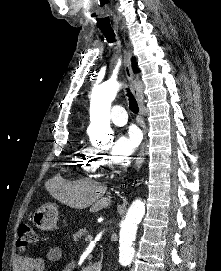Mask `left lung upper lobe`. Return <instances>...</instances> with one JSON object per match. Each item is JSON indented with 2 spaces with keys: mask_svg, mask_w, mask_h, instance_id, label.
<instances>
[{
  "mask_svg": "<svg viewBox=\"0 0 221 271\" xmlns=\"http://www.w3.org/2000/svg\"><path fill=\"white\" fill-rule=\"evenodd\" d=\"M133 62L135 61L134 59L132 60ZM135 71H138L137 69H135Z\"/></svg>",
  "mask_w": 221,
  "mask_h": 271,
  "instance_id": "left-lung-upper-lobe-1",
  "label": "left lung upper lobe"
}]
</instances>
